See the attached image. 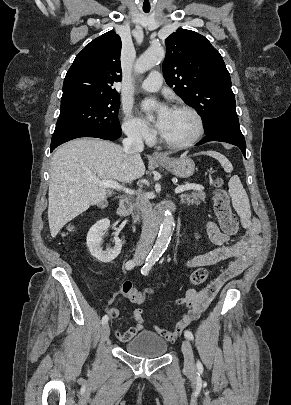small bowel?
Segmentation results:
<instances>
[{"label": "small bowel", "instance_id": "1", "mask_svg": "<svg viewBox=\"0 0 291 405\" xmlns=\"http://www.w3.org/2000/svg\"><path fill=\"white\" fill-rule=\"evenodd\" d=\"M206 230L210 241L219 247L188 259L186 265L190 268H197L215 265L225 260H230V262L208 285L201 289H188L185 296L176 301L179 305H186L187 313L183 315L173 330L154 326V332L166 341H175L187 326L200 317L221 287L230 279L241 274L260 252V227L257 221L248 223L243 239L230 245L227 244L229 236L223 233L215 222H208ZM107 312L111 318L119 315L117 307H110ZM142 314V309H136L135 322L126 331L116 332V338L119 341L127 342L144 329Z\"/></svg>", "mask_w": 291, "mask_h": 405}]
</instances>
